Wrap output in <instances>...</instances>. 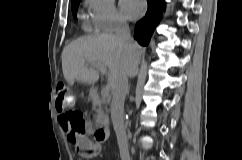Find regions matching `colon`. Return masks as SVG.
Masks as SVG:
<instances>
[{
    "instance_id": "colon-1",
    "label": "colon",
    "mask_w": 242,
    "mask_h": 160,
    "mask_svg": "<svg viewBox=\"0 0 242 160\" xmlns=\"http://www.w3.org/2000/svg\"><path fill=\"white\" fill-rule=\"evenodd\" d=\"M72 101L68 87L64 83H58L55 97L56 109L61 113V119L68 124L72 133L82 134L86 129V119L81 112L71 109ZM93 144V148L88 152L89 156H96L99 152L98 145Z\"/></svg>"
}]
</instances>
